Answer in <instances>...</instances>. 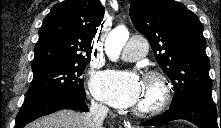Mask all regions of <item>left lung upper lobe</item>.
<instances>
[{
    "instance_id": "obj_1",
    "label": "left lung upper lobe",
    "mask_w": 221,
    "mask_h": 128,
    "mask_svg": "<svg viewBox=\"0 0 221 128\" xmlns=\"http://www.w3.org/2000/svg\"><path fill=\"white\" fill-rule=\"evenodd\" d=\"M130 18L172 81L175 93L170 108L194 98L212 99L206 40L193 12L174 0H133Z\"/></svg>"
}]
</instances>
